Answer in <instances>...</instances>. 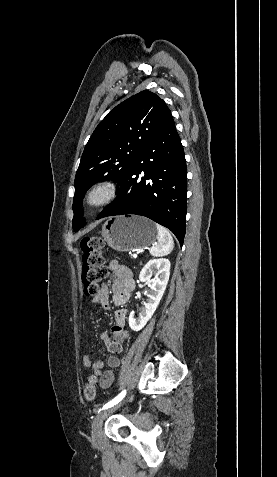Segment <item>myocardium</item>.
<instances>
[{"mask_svg": "<svg viewBox=\"0 0 277 477\" xmlns=\"http://www.w3.org/2000/svg\"><path fill=\"white\" fill-rule=\"evenodd\" d=\"M117 191V185L113 180L103 179L97 181L86 191L83 205L88 210L100 209L116 198Z\"/></svg>", "mask_w": 277, "mask_h": 477, "instance_id": "f54148a6", "label": "myocardium"}]
</instances>
